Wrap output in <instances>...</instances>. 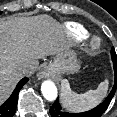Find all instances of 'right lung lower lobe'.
Listing matches in <instances>:
<instances>
[{"label": "right lung lower lobe", "mask_w": 117, "mask_h": 117, "mask_svg": "<svg viewBox=\"0 0 117 117\" xmlns=\"http://www.w3.org/2000/svg\"><path fill=\"white\" fill-rule=\"evenodd\" d=\"M27 81L28 78L20 80L9 99L0 106V117H12L15 114L19 91Z\"/></svg>", "instance_id": "right-lung-lower-lobe-1"}]
</instances>
